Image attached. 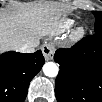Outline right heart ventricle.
<instances>
[{
  "instance_id": "right-heart-ventricle-1",
  "label": "right heart ventricle",
  "mask_w": 102,
  "mask_h": 102,
  "mask_svg": "<svg viewBox=\"0 0 102 102\" xmlns=\"http://www.w3.org/2000/svg\"><path fill=\"white\" fill-rule=\"evenodd\" d=\"M67 26H68V23H67V22H65V23H63V24H60V25L58 26V28H57V31L60 32V31H62V30H65V29L67 28Z\"/></svg>"
}]
</instances>
